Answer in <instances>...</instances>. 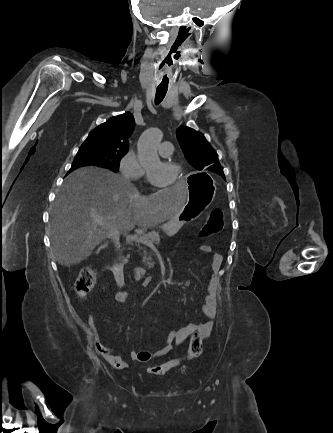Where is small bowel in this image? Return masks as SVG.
Listing matches in <instances>:
<instances>
[{"mask_svg":"<svg viewBox=\"0 0 333 433\" xmlns=\"http://www.w3.org/2000/svg\"><path fill=\"white\" fill-rule=\"evenodd\" d=\"M205 252H211L210 246H202L201 248ZM222 255L219 253H214L212 256L211 269L214 274H216L222 263ZM150 279H146L145 282L148 283ZM127 292L120 291L116 295V299L120 302H123L126 299ZM202 314L207 319L204 323L196 324L189 323L184 327L180 328L177 331H171L168 333L163 347L156 351H132L130 353V358L132 360L141 361L144 363L150 362L156 357H160L168 354L174 344H182L185 342L190 336L195 333H198L202 338L207 337L213 326V318L216 314V292L213 289L208 288L206 295L204 297V304L202 306ZM88 323V331L89 335L92 339L93 345L98 353H100L112 366L117 369H121L125 366V361L120 357L115 355L114 350L108 346H106L100 338V334L98 332L95 319L93 315H90L87 320Z\"/></svg>","mask_w":333,"mask_h":433,"instance_id":"obj_1","label":"small bowel"}]
</instances>
